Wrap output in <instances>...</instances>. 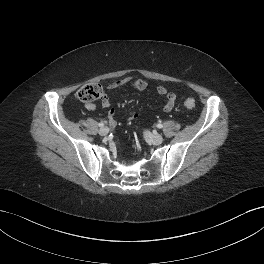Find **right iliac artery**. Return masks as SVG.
I'll use <instances>...</instances> for the list:
<instances>
[{"label":"right iliac artery","mask_w":264,"mask_h":264,"mask_svg":"<svg viewBox=\"0 0 264 264\" xmlns=\"http://www.w3.org/2000/svg\"><path fill=\"white\" fill-rule=\"evenodd\" d=\"M104 124H105L104 122H100V123H99V127H103Z\"/></svg>","instance_id":"1"}]
</instances>
